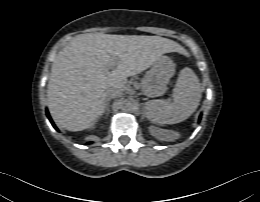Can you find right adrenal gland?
<instances>
[{
	"label": "right adrenal gland",
	"mask_w": 260,
	"mask_h": 202,
	"mask_svg": "<svg viewBox=\"0 0 260 202\" xmlns=\"http://www.w3.org/2000/svg\"><path fill=\"white\" fill-rule=\"evenodd\" d=\"M109 104H110V99H107V102H106V115H109V112H110Z\"/></svg>",
	"instance_id": "right-adrenal-gland-1"
}]
</instances>
